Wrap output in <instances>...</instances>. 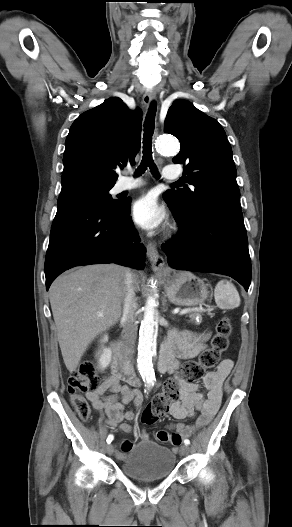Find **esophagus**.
<instances>
[{
	"instance_id": "34e87169",
	"label": "esophagus",
	"mask_w": 292,
	"mask_h": 527,
	"mask_svg": "<svg viewBox=\"0 0 292 527\" xmlns=\"http://www.w3.org/2000/svg\"><path fill=\"white\" fill-rule=\"evenodd\" d=\"M156 99V92L149 91L143 97L144 104L149 107L150 103ZM147 257L151 263L154 271H161L165 267L164 258L159 254L154 243L150 242L147 245Z\"/></svg>"
}]
</instances>
